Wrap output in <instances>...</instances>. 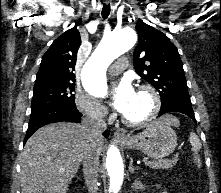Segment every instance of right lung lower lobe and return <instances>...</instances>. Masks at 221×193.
<instances>
[{
	"label": "right lung lower lobe",
	"instance_id": "obj_1",
	"mask_svg": "<svg viewBox=\"0 0 221 193\" xmlns=\"http://www.w3.org/2000/svg\"><path fill=\"white\" fill-rule=\"evenodd\" d=\"M82 114L76 107H68L63 105H51L31 111L29 126L24 139V144L28 138L39 128L49 123L69 121L78 123ZM108 137L109 131L103 132Z\"/></svg>",
	"mask_w": 221,
	"mask_h": 193
}]
</instances>
